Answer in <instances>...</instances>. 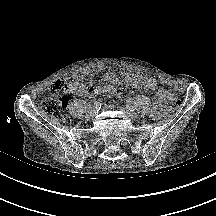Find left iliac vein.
<instances>
[{"label":"left iliac vein","mask_w":216,"mask_h":216,"mask_svg":"<svg viewBox=\"0 0 216 216\" xmlns=\"http://www.w3.org/2000/svg\"><path fill=\"white\" fill-rule=\"evenodd\" d=\"M120 110L127 113L131 118H135L137 116L135 112L130 111L127 107H121Z\"/></svg>","instance_id":"left-iliac-vein-1"}]
</instances>
